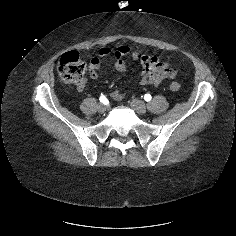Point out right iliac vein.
Returning <instances> with one entry per match:
<instances>
[{"mask_svg": "<svg viewBox=\"0 0 236 236\" xmlns=\"http://www.w3.org/2000/svg\"><path fill=\"white\" fill-rule=\"evenodd\" d=\"M97 109L99 112L104 113L107 110V106L105 104H99Z\"/></svg>", "mask_w": 236, "mask_h": 236, "instance_id": "63e3f726", "label": "right iliac vein"}]
</instances>
